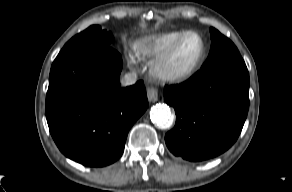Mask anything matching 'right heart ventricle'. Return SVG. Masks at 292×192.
Listing matches in <instances>:
<instances>
[{
	"label": "right heart ventricle",
	"mask_w": 292,
	"mask_h": 192,
	"mask_svg": "<svg viewBox=\"0 0 292 192\" xmlns=\"http://www.w3.org/2000/svg\"><path fill=\"white\" fill-rule=\"evenodd\" d=\"M185 32V30H174L143 37L134 43V52L142 60H159Z\"/></svg>",
	"instance_id": "1"
}]
</instances>
